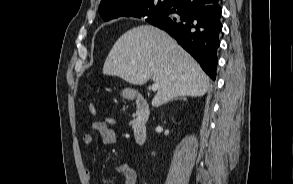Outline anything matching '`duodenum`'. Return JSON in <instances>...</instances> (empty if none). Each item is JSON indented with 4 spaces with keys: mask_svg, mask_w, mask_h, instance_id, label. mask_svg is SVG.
Masks as SVG:
<instances>
[{
    "mask_svg": "<svg viewBox=\"0 0 293 184\" xmlns=\"http://www.w3.org/2000/svg\"><path fill=\"white\" fill-rule=\"evenodd\" d=\"M136 113L133 121V137L138 145H142L147 139V123L150 109L147 101L142 96L135 97Z\"/></svg>",
    "mask_w": 293,
    "mask_h": 184,
    "instance_id": "410a0bca",
    "label": "duodenum"
}]
</instances>
